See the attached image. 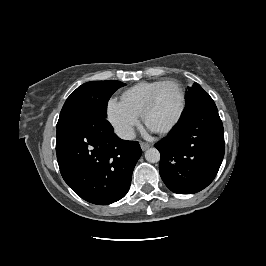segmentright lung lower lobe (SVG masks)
<instances>
[{
	"label": "right lung lower lobe",
	"mask_w": 266,
	"mask_h": 266,
	"mask_svg": "<svg viewBox=\"0 0 266 266\" xmlns=\"http://www.w3.org/2000/svg\"><path fill=\"white\" fill-rule=\"evenodd\" d=\"M56 153L72 190L90 203L107 205L128 192L142 150L137 141L117 137L105 118L94 117L56 140Z\"/></svg>",
	"instance_id": "98d812e1"
}]
</instances>
